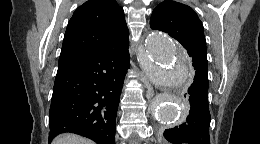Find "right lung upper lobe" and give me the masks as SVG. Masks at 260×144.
Here are the masks:
<instances>
[{"label": "right lung upper lobe", "mask_w": 260, "mask_h": 144, "mask_svg": "<svg viewBox=\"0 0 260 144\" xmlns=\"http://www.w3.org/2000/svg\"><path fill=\"white\" fill-rule=\"evenodd\" d=\"M122 7L115 0H89L70 19L59 62L129 43Z\"/></svg>", "instance_id": "1"}]
</instances>
